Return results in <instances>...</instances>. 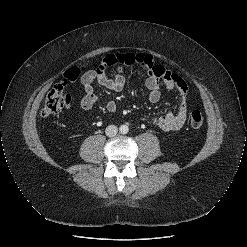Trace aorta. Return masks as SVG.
<instances>
[{
    "mask_svg": "<svg viewBox=\"0 0 247 247\" xmlns=\"http://www.w3.org/2000/svg\"><path fill=\"white\" fill-rule=\"evenodd\" d=\"M119 130H120V132H121L122 134H127L128 131H129V128H128L127 125H121L120 128H119Z\"/></svg>",
    "mask_w": 247,
    "mask_h": 247,
    "instance_id": "1",
    "label": "aorta"
}]
</instances>
